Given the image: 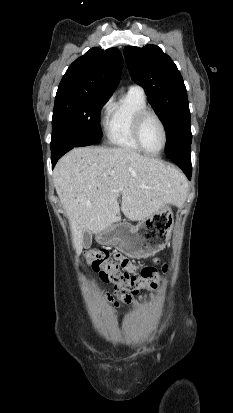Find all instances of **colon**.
<instances>
[{
  "label": "colon",
  "instance_id": "5ec220e1",
  "mask_svg": "<svg viewBox=\"0 0 233 413\" xmlns=\"http://www.w3.org/2000/svg\"><path fill=\"white\" fill-rule=\"evenodd\" d=\"M85 258L102 280L113 283L115 290L122 294H136L141 289H155L160 281V274L153 266L143 267L136 276L125 273L118 261L111 258V253L107 249L86 251Z\"/></svg>",
  "mask_w": 233,
  "mask_h": 413
}]
</instances>
